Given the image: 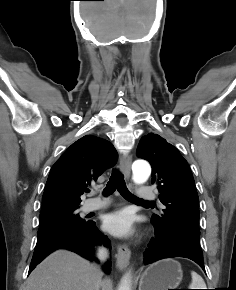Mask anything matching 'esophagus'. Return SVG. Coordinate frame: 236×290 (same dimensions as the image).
Wrapping results in <instances>:
<instances>
[{"label":"esophagus","instance_id":"1","mask_svg":"<svg viewBox=\"0 0 236 290\" xmlns=\"http://www.w3.org/2000/svg\"><path fill=\"white\" fill-rule=\"evenodd\" d=\"M132 164V156L130 154H124L120 158V170L124 176L128 179L130 177ZM131 255L130 249L126 245H119L117 247L116 254V266L119 270H123L129 262Z\"/></svg>","mask_w":236,"mask_h":290}]
</instances>
